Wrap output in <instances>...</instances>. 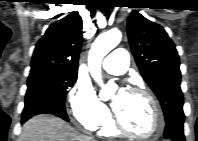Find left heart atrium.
<instances>
[{"mask_svg":"<svg viewBox=\"0 0 198 141\" xmlns=\"http://www.w3.org/2000/svg\"><path fill=\"white\" fill-rule=\"evenodd\" d=\"M127 95H128V92L124 88L120 89V91L116 95V98L113 101L114 109L117 108V106L120 103V101H122L124 98H126Z\"/></svg>","mask_w":198,"mask_h":141,"instance_id":"1","label":"left heart atrium"}]
</instances>
